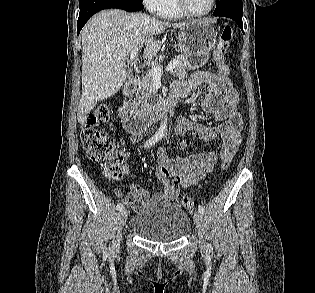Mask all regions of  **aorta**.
Listing matches in <instances>:
<instances>
[{"mask_svg":"<svg viewBox=\"0 0 315 293\" xmlns=\"http://www.w3.org/2000/svg\"><path fill=\"white\" fill-rule=\"evenodd\" d=\"M167 122H168V119H167V117L165 116L164 117V119H163V121L161 122V124H160V131H162V132H164V131H166V129H167Z\"/></svg>","mask_w":315,"mask_h":293,"instance_id":"1","label":"aorta"}]
</instances>
